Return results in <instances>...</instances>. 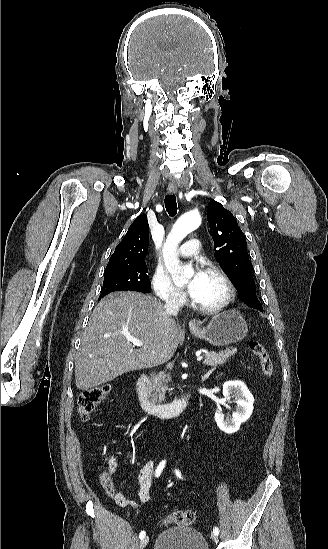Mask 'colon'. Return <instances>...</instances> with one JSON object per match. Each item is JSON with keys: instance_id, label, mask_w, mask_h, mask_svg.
I'll return each instance as SVG.
<instances>
[{"instance_id": "colon-1", "label": "colon", "mask_w": 328, "mask_h": 549, "mask_svg": "<svg viewBox=\"0 0 328 549\" xmlns=\"http://www.w3.org/2000/svg\"><path fill=\"white\" fill-rule=\"evenodd\" d=\"M251 353L259 360L261 371L265 377H271L274 365L265 346L257 341L249 343ZM111 386L101 384L84 390L78 399V411L82 420H88L96 407L110 394ZM101 483L106 492L111 487V480L106 475L101 476ZM195 521V514L191 510H176L169 514L165 523L174 525H190Z\"/></svg>"}]
</instances>
